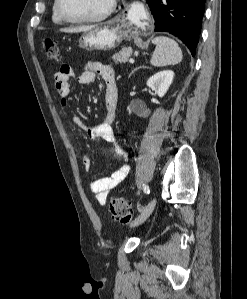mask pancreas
<instances>
[{"instance_id":"1","label":"pancreas","mask_w":247,"mask_h":299,"mask_svg":"<svg viewBox=\"0 0 247 299\" xmlns=\"http://www.w3.org/2000/svg\"><path fill=\"white\" fill-rule=\"evenodd\" d=\"M131 54V50L123 49L119 53H116L112 56V59L115 63H124L127 61L128 57Z\"/></svg>"}]
</instances>
